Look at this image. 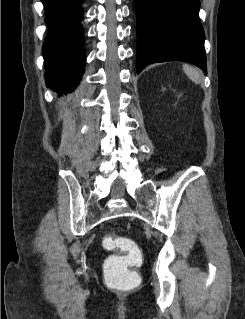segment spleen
<instances>
[{"label": "spleen", "mask_w": 245, "mask_h": 319, "mask_svg": "<svg viewBox=\"0 0 245 319\" xmlns=\"http://www.w3.org/2000/svg\"><path fill=\"white\" fill-rule=\"evenodd\" d=\"M183 71L189 79L194 83L199 84L201 80L200 70L188 64L183 65Z\"/></svg>", "instance_id": "1"}]
</instances>
